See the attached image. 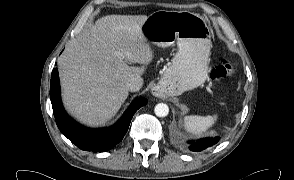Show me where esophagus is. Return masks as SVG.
I'll return each mask as SVG.
<instances>
[{"label": "esophagus", "mask_w": 294, "mask_h": 180, "mask_svg": "<svg viewBox=\"0 0 294 180\" xmlns=\"http://www.w3.org/2000/svg\"><path fill=\"white\" fill-rule=\"evenodd\" d=\"M158 90H159V86H156V85H155V86L152 88L151 92H152V94H153L154 96H157V95H158V94H157Z\"/></svg>", "instance_id": "obj_1"}]
</instances>
